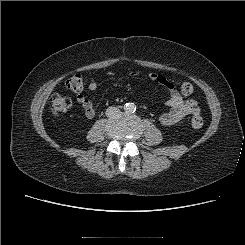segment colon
Returning <instances> with one entry per match:
<instances>
[{
    "instance_id": "colon-1",
    "label": "colon",
    "mask_w": 245,
    "mask_h": 245,
    "mask_svg": "<svg viewBox=\"0 0 245 245\" xmlns=\"http://www.w3.org/2000/svg\"><path fill=\"white\" fill-rule=\"evenodd\" d=\"M66 86L69 90L73 92H81L84 87L83 79L80 75L76 74L71 76L67 82ZM182 94L189 96L194 92V87L189 82H184L181 84ZM72 105V101L69 97L55 94L50 99L51 111L54 114L65 113L69 110ZM203 126V119L200 115H194L191 119V127L194 130H198Z\"/></svg>"
}]
</instances>
